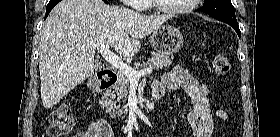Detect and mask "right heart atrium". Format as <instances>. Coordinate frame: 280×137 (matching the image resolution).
Instances as JSON below:
<instances>
[{
    "instance_id": "d8ad5b80",
    "label": "right heart atrium",
    "mask_w": 280,
    "mask_h": 137,
    "mask_svg": "<svg viewBox=\"0 0 280 137\" xmlns=\"http://www.w3.org/2000/svg\"><path fill=\"white\" fill-rule=\"evenodd\" d=\"M144 0H129V5L133 6L136 9H141Z\"/></svg>"
}]
</instances>
